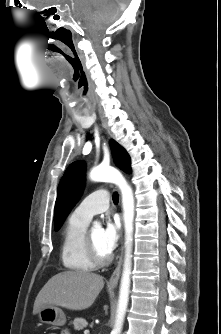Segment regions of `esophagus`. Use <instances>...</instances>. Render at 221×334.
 <instances>
[{
	"label": "esophagus",
	"mask_w": 221,
	"mask_h": 334,
	"mask_svg": "<svg viewBox=\"0 0 221 334\" xmlns=\"http://www.w3.org/2000/svg\"><path fill=\"white\" fill-rule=\"evenodd\" d=\"M122 261H123V247L121 251V255L118 260V264L111 275L109 281H108V286H116L119 280L120 272H121V266H122Z\"/></svg>",
	"instance_id": "34e87169"
}]
</instances>
